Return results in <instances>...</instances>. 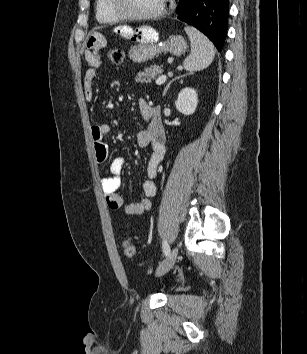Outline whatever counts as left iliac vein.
Instances as JSON below:
<instances>
[{"label":"left iliac vein","instance_id":"4c4485c4","mask_svg":"<svg viewBox=\"0 0 307 354\" xmlns=\"http://www.w3.org/2000/svg\"><path fill=\"white\" fill-rule=\"evenodd\" d=\"M178 255V248L174 247L156 271L157 276H162L170 271Z\"/></svg>","mask_w":307,"mask_h":354}]
</instances>
